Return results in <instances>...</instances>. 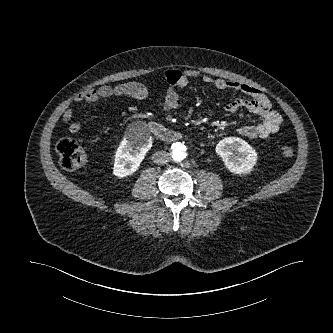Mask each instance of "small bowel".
<instances>
[{
  "instance_id": "c3829d8e",
  "label": "small bowel",
  "mask_w": 333,
  "mask_h": 333,
  "mask_svg": "<svg viewBox=\"0 0 333 333\" xmlns=\"http://www.w3.org/2000/svg\"><path fill=\"white\" fill-rule=\"evenodd\" d=\"M199 71L188 69L183 72L171 70L165 73L163 83L167 88L162 92L158 99V106L163 110H175L180 105L179 90L186 87L190 79L199 77ZM204 83L214 86L218 90L239 91L249 98H237L231 101L226 107L225 112L229 115L245 109L260 117V121L254 124L241 126L238 129L240 135L255 139H266L270 135L279 131L282 124L281 115L272 107L270 101L259 89L250 85L231 80L212 78L204 75ZM131 97L135 99H145L148 96V89L139 82H126L116 86H102L97 89H88L76 95V103H96L113 97ZM73 111L68 108L63 114V121L69 123L68 128L76 133L81 129V123L71 121Z\"/></svg>"
}]
</instances>
